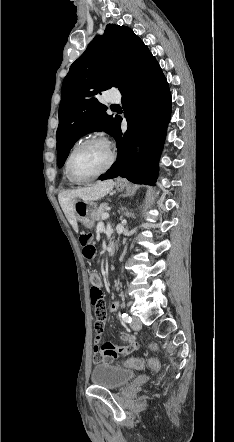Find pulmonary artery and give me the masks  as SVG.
Returning <instances> with one entry per match:
<instances>
[{
    "mask_svg": "<svg viewBox=\"0 0 234 442\" xmlns=\"http://www.w3.org/2000/svg\"><path fill=\"white\" fill-rule=\"evenodd\" d=\"M120 101V96L119 95H111L108 97V102L109 103H117Z\"/></svg>",
    "mask_w": 234,
    "mask_h": 442,
    "instance_id": "pulmonary-artery-1",
    "label": "pulmonary artery"
}]
</instances>
